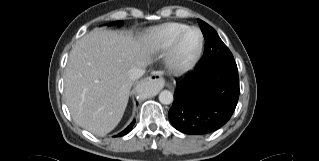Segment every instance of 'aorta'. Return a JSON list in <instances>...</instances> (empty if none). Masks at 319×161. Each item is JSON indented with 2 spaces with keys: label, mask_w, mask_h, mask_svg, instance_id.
I'll return each mask as SVG.
<instances>
[{
  "label": "aorta",
  "mask_w": 319,
  "mask_h": 161,
  "mask_svg": "<svg viewBox=\"0 0 319 161\" xmlns=\"http://www.w3.org/2000/svg\"><path fill=\"white\" fill-rule=\"evenodd\" d=\"M143 95H146V91L145 88L142 92ZM159 101L160 103L164 104V105H169L173 102V94L168 91V90H163L160 94H159Z\"/></svg>",
  "instance_id": "762f6f07"
}]
</instances>
